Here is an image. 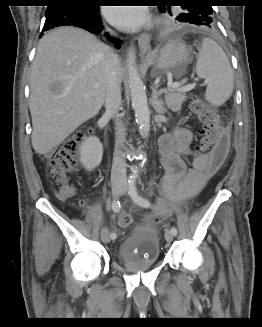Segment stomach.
<instances>
[{"label": "stomach", "mask_w": 262, "mask_h": 327, "mask_svg": "<svg viewBox=\"0 0 262 327\" xmlns=\"http://www.w3.org/2000/svg\"><path fill=\"white\" fill-rule=\"evenodd\" d=\"M190 53L183 42L171 41L162 45L155 53L145 56V59L154 65L157 74L172 73L179 77L190 61Z\"/></svg>", "instance_id": "0dacf381"}]
</instances>
